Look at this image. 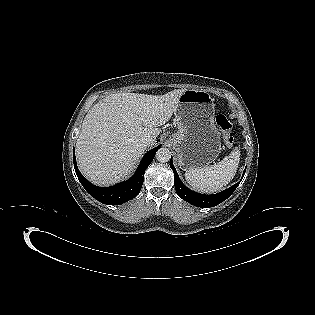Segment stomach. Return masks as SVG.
I'll return each mask as SVG.
<instances>
[{
    "label": "stomach",
    "mask_w": 315,
    "mask_h": 315,
    "mask_svg": "<svg viewBox=\"0 0 315 315\" xmlns=\"http://www.w3.org/2000/svg\"><path fill=\"white\" fill-rule=\"evenodd\" d=\"M214 114V99L204 90L188 89L179 97L175 111L178 131L169 142L181 169L206 167L219 156L221 139Z\"/></svg>",
    "instance_id": "stomach-1"
}]
</instances>
